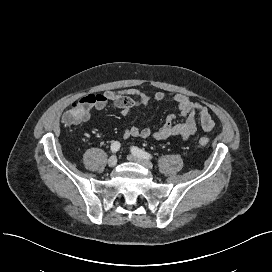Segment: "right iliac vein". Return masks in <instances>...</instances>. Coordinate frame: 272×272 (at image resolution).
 <instances>
[{"label": "right iliac vein", "instance_id": "1", "mask_svg": "<svg viewBox=\"0 0 272 272\" xmlns=\"http://www.w3.org/2000/svg\"><path fill=\"white\" fill-rule=\"evenodd\" d=\"M117 164V157L115 155L111 156L108 160L109 167H115Z\"/></svg>", "mask_w": 272, "mask_h": 272}]
</instances>
